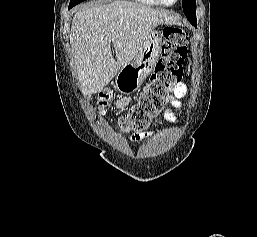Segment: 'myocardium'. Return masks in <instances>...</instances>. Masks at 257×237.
<instances>
[{
    "instance_id": "f54148a6",
    "label": "myocardium",
    "mask_w": 257,
    "mask_h": 237,
    "mask_svg": "<svg viewBox=\"0 0 257 237\" xmlns=\"http://www.w3.org/2000/svg\"><path fill=\"white\" fill-rule=\"evenodd\" d=\"M178 1L179 0H175L173 3H167L165 0H159V2L164 6H174Z\"/></svg>"
}]
</instances>
